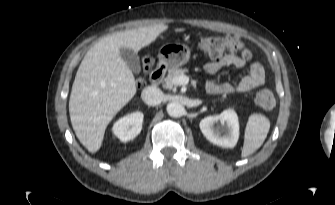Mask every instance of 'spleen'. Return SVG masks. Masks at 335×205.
I'll return each instance as SVG.
<instances>
[{
	"instance_id": "3e777b00",
	"label": "spleen",
	"mask_w": 335,
	"mask_h": 205,
	"mask_svg": "<svg viewBox=\"0 0 335 205\" xmlns=\"http://www.w3.org/2000/svg\"><path fill=\"white\" fill-rule=\"evenodd\" d=\"M269 129L270 121L266 116L257 113L250 115L245 128L241 156L247 157L258 150L265 141Z\"/></svg>"
}]
</instances>
